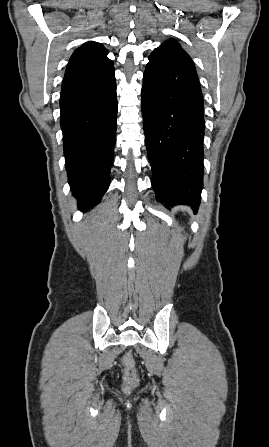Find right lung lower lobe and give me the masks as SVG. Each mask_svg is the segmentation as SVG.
I'll use <instances>...</instances> for the list:
<instances>
[{
    "label": "right lung lower lobe",
    "instance_id": "obj_1",
    "mask_svg": "<svg viewBox=\"0 0 269 447\" xmlns=\"http://www.w3.org/2000/svg\"><path fill=\"white\" fill-rule=\"evenodd\" d=\"M60 110L68 182L79 209L87 211L110 183L117 124L113 63L65 76Z\"/></svg>",
    "mask_w": 269,
    "mask_h": 447
}]
</instances>
